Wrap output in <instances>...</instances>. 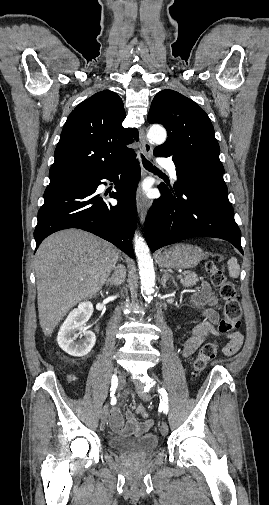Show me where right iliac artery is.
<instances>
[{"mask_svg":"<svg viewBox=\"0 0 269 505\" xmlns=\"http://www.w3.org/2000/svg\"><path fill=\"white\" fill-rule=\"evenodd\" d=\"M117 376L113 375L111 380L110 396L113 397L117 388L118 383L116 382Z\"/></svg>","mask_w":269,"mask_h":505,"instance_id":"obj_1","label":"right iliac artery"}]
</instances>
